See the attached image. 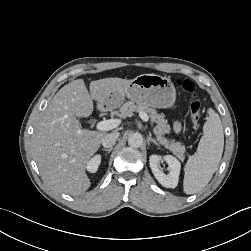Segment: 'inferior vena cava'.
Instances as JSON below:
<instances>
[{"label":"inferior vena cava","mask_w":251,"mask_h":251,"mask_svg":"<svg viewBox=\"0 0 251 251\" xmlns=\"http://www.w3.org/2000/svg\"><path fill=\"white\" fill-rule=\"evenodd\" d=\"M118 137V132L105 134L101 140V143L105 148H112L115 145Z\"/></svg>","instance_id":"602c4592"}]
</instances>
